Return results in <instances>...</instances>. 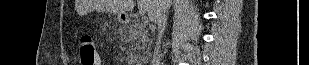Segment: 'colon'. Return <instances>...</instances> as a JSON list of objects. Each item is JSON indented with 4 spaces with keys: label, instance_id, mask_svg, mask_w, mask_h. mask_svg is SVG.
Wrapping results in <instances>:
<instances>
[{
    "label": "colon",
    "instance_id": "colon-1",
    "mask_svg": "<svg viewBox=\"0 0 309 65\" xmlns=\"http://www.w3.org/2000/svg\"><path fill=\"white\" fill-rule=\"evenodd\" d=\"M79 48L81 54V65H98L99 55L95 49L93 39L84 35L80 38Z\"/></svg>",
    "mask_w": 309,
    "mask_h": 65
}]
</instances>
